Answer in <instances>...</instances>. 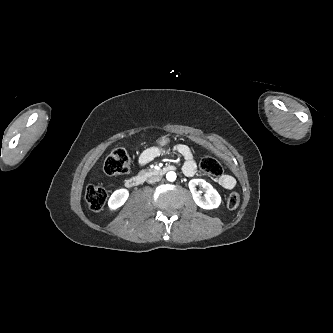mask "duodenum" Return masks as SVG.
Segmentation results:
<instances>
[{
    "instance_id": "1",
    "label": "duodenum",
    "mask_w": 333,
    "mask_h": 333,
    "mask_svg": "<svg viewBox=\"0 0 333 333\" xmlns=\"http://www.w3.org/2000/svg\"><path fill=\"white\" fill-rule=\"evenodd\" d=\"M172 169H173L172 167H163V168L153 169L145 174L130 176L125 180V185L128 188L140 186L145 182L147 178L163 176Z\"/></svg>"
}]
</instances>
